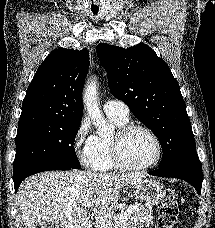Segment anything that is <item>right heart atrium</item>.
Listing matches in <instances>:
<instances>
[{
  "instance_id": "right-heart-atrium-1",
  "label": "right heart atrium",
  "mask_w": 215,
  "mask_h": 228,
  "mask_svg": "<svg viewBox=\"0 0 215 228\" xmlns=\"http://www.w3.org/2000/svg\"><path fill=\"white\" fill-rule=\"evenodd\" d=\"M90 127L88 118L84 117L79 121L73 134L74 152L76 158L83 164H88L89 161V143L92 137L88 136Z\"/></svg>"
}]
</instances>
